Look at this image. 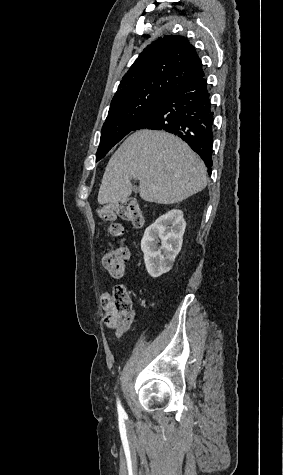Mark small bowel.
<instances>
[{"mask_svg":"<svg viewBox=\"0 0 283 475\" xmlns=\"http://www.w3.org/2000/svg\"><path fill=\"white\" fill-rule=\"evenodd\" d=\"M123 332H124V330H121V331L118 330V331L116 332V337H117V338H121L122 335H123Z\"/></svg>","mask_w":283,"mask_h":475,"instance_id":"small-bowel-1","label":"small bowel"}]
</instances>
